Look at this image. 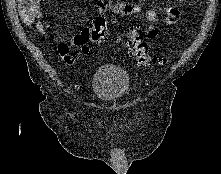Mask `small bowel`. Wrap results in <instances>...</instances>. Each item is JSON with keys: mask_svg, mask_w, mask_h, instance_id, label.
I'll return each mask as SVG.
<instances>
[{"mask_svg": "<svg viewBox=\"0 0 221 174\" xmlns=\"http://www.w3.org/2000/svg\"><path fill=\"white\" fill-rule=\"evenodd\" d=\"M174 4L183 2L184 0H171ZM107 9L113 10L115 13L125 16H135L142 13L141 8L135 3H123V2H111L106 0H98L96 3V10L98 16H104ZM179 10L176 5L166 7L165 16L163 19L160 18L159 14L149 9L144 12V17L148 22V25L144 29V33L147 38L153 39L157 36L158 29L157 24L163 22L165 24H174L179 20ZM38 17H41L39 12ZM37 30L44 36L48 37L51 41L57 42V49L59 55L67 64H73L79 57L88 54L89 49L86 46L87 42L80 39L81 33L74 35L71 38V44L77 49L75 54L70 52V45L65 41H58L57 37L52 33L50 26L43 22L38 21L36 24Z\"/></svg>", "mask_w": 221, "mask_h": 174, "instance_id": "1", "label": "small bowel"}]
</instances>
